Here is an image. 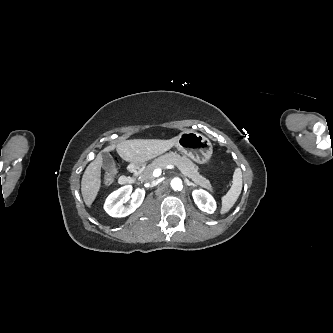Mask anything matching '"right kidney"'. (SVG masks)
Instances as JSON below:
<instances>
[{"mask_svg":"<svg viewBox=\"0 0 333 333\" xmlns=\"http://www.w3.org/2000/svg\"><path fill=\"white\" fill-rule=\"evenodd\" d=\"M145 190L137 188L132 192V186L126 185L112 192L104 204L105 211L112 217H125L133 213L143 202ZM130 199V205L124 206L123 199Z\"/></svg>","mask_w":333,"mask_h":333,"instance_id":"right-kidney-1","label":"right kidney"}]
</instances>
